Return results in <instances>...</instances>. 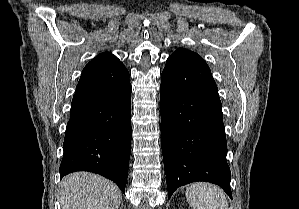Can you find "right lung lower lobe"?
Segmentation results:
<instances>
[{"mask_svg":"<svg viewBox=\"0 0 299 209\" xmlns=\"http://www.w3.org/2000/svg\"><path fill=\"white\" fill-rule=\"evenodd\" d=\"M129 73L113 69L84 71L70 109L60 176L89 171L125 193L131 152Z\"/></svg>","mask_w":299,"mask_h":209,"instance_id":"right-lung-lower-lobe-1","label":"right lung lower lobe"}]
</instances>
